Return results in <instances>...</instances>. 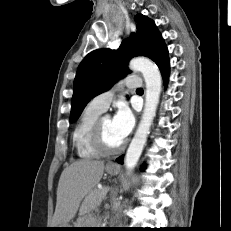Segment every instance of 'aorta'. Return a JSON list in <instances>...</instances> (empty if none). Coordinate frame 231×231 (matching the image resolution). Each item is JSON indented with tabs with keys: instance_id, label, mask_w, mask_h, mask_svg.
Returning a JSON list of instances; mask_svg holds the SVG:
<instances>
[{
	"instance_id": "obj_1",
	"label": "aorta",
	"mask_w": 231,
	"mask_h": 231,
	"mask_svg": "<svg viewBox=\"0 0 231 231\" xmlns=\"http://www.w3.org/2000/svg\"><path fill=\"white\" fill-rule=\"evenodd\" d=\"M129 67L131 70L141 72L146 83L143 114L125 156L126 169L132 170L141 156L156 113L162 89V78L158 67L148 58H134L130 61Z\"/></svg>"
}]
</instances>
